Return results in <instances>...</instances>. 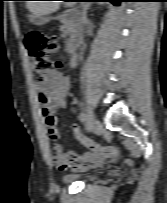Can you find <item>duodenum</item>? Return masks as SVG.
<instances>
[{
	"instance_id": "duodenum-1",
	"label": "duodenum",
	"mask_w": 167,
	"mask_h": 203,
	"mask_svg": "<svg viewBox=\"0 0 167 203\" xmlns=\"http://www.w3.org/2000/svg\"><path fill=\"white\" fill-rule=\"evenodd\" d=\"M57 20L67 22L68 24L73 26V29L70 35L66 39V50L69 55H72L76 50V44L78 41V35L80 32V23L78 17L74 14V12L67 11L63 14H60L56 18Z\"/></svg>"
}]
</instances>
